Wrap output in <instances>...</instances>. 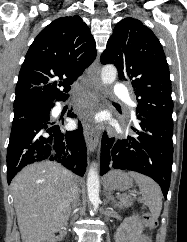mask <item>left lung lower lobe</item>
<instances>
[{
	"mask_svg": "<svg viewBox=\"0 0 187 242\" xmlns=\"http://www.w3.org/2000/svg\"><path fill=\"white\" fill-rule=\"evenodd\" d=\"M137 136L123 139L108 138L101 143L100 174L111 168L132 170L154 179L165 199L170 186L173 163V122L137 116Z\"/></svg>",
	"mask_w": 187,
	"mask_h": 242,
	"instance_id": "0a47b994",
	"label": "left lung lower lobe"
}]
</instances>
